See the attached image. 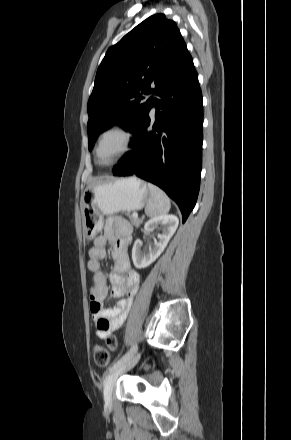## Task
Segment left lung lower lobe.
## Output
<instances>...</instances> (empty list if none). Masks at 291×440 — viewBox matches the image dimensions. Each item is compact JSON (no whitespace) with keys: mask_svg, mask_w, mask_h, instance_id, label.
Wrapping results in <instances>:
<instances>
[{"mask_svg":"<svg viewBox=\"0 0 291 440\" xmlns=\"http://www.w3.org/2000/svg\"><path fill=\"white\" fill-rule=\"evenodd\" d=\"M115 176L136 175L162 188L179 206L183 222L194 208L200 187L203 105L193 59L187 52L155 91ZM155 106V121L149 112Z\"/></svg>","mask_w":291,"mask_h":440,"instance_id":"1","label":"left lung lower lobe"}]
</instances>
